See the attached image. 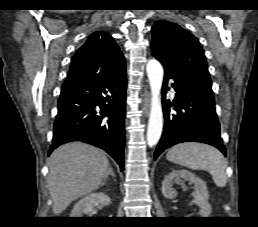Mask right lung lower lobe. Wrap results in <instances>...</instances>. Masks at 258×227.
Instances as JSON below:
<instances>
[{
    "label": "right lung lower lobe",
    "mask_w": 258,
    "mask_h": 227,
    "mask_svg": "<svg viewBox=\"0 0 258 227\" xmlns=\"http://www.w3.org/2000/svg\"><path fill=\"white\" fill-rule=\"evenodd\" d=\"M126 86L125 63L65 80L49 153L61 144L82 141L105 150L123 169Z\"/></svg>",
    "instance_id": "1"
}]
</instances>
